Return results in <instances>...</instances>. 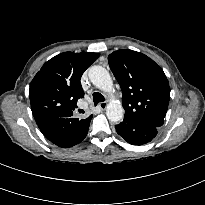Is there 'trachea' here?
Listing matches in <instances>:
<instances>
[{"instance_id":"trachea-1","label":"trachea","mask_w":205,"mask_h":205,"mask_svg":"<svg viewBox=\"0 0 205 205\" xmlns=\"http://www.w3.org/2000/svg\"><path fill=\"white\" fill-rule=\"evenodd\" d=\"M103 101H105V98L102 94H100L98 92L93 93V102L95 105H97L99 102H103Z\"/></svg>"}]
</instances>
